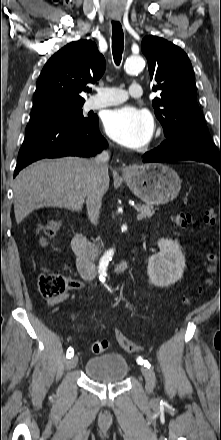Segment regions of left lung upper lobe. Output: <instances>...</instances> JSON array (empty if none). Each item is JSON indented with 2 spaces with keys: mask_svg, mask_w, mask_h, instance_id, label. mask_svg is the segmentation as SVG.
<instances>
[{
  "mask_svg": "<svg viewBox=\"0 0 221 440\" xmlns=\"http://www.w3.org/2000/svg\"><path fill=\"white\" fill-rule=\"evenodd\" d=\"M149 65L155 115L163 126L171 149L186 153L221 156L210 137L196 100L195 75L186 53L173 43L156 36H146L141 43Z\"/></svg>",
  "mask_w": 221,
  "mask_h": 440,
  "instance_id": "1",
  "label": "left lung upper lobe"
}]
</instances>
